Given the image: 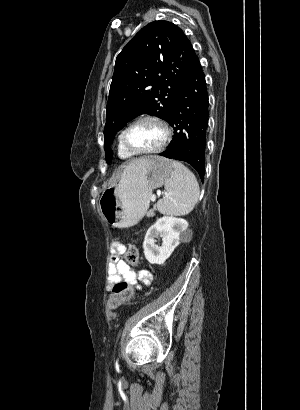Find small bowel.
<instances>
[{"mask_svg":"<svg viewBox=\"0 0 300 410\" xmlns=\"http://www.w3.org/2000/svg\"><path fill=\"white\" fill-rule=\"evenodd\" d=\"M124 245L116 242L112 245L109 262L108 285L124 280L137 290H141L142 285L148 286L151 283L152 275L146 269L133 270L128 263L121 259Z\"/></svg>","mask_w":300,"mask_h":410,"instance_id":"obj_1","label":"small bowel"}]
</instances>
